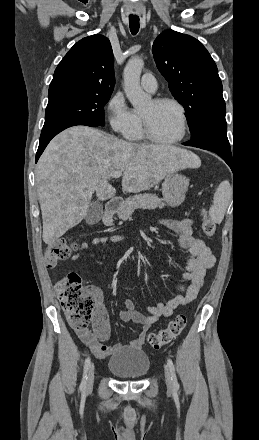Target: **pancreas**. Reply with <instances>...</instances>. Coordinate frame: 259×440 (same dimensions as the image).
<instances>
[{"label": "pancreas", "instance_id": "obj_1", "mask_svg": "<svg viewBox=\"0 0 259 440\" xmlns=\"http://www.w3.org/2000/svg\"><path fill=\"white\" fill-rule=\"evenodd\" d=\"M164 206L162 199L157 195L144 193L128 197L120 204L117 213L121 218H128L136 209L154 210ZM104 224L107 226L113 225V214L107 216Z\"/></svg>", "mask_w": 259, "mask_h": 440}]
</instances>
